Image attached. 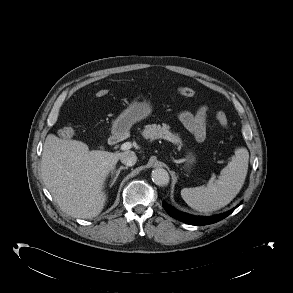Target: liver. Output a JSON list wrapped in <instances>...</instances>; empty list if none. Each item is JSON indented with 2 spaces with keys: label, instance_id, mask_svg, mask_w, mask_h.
<instances>
[{
  "label": "liver",
  "instance_id": "liver-1",
  "mask_svg": "<svg viewBox=\"0 0 293 293\" xmlns=\"http://www.w3.org/2000/svg\"><path fill=\"white\" fill-rule=\"evenodd\" d=\"M121 154L90 151L81 141L48 134L41 159L42 179L63 212L90 219L105 206L104 184Z\"/></svg>",
  "mask_w": 293,
  "mask_h": 293
}]
</instances>
